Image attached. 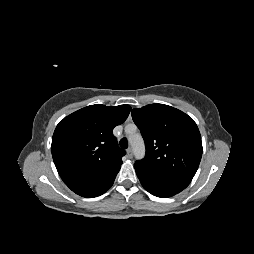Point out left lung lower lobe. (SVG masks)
<instances>
[{"mask_svg":"<svg viewBox=\"0 0 254 254\" xmlns=\"http://www.w3.org/2000/svg\"><path fill=\"white\" fill-rule=\"evenodd\" d=\"M134 168L144 189L157 197H171L184 190L190 183L188 180L153 173L138 163L134 164Z\"/></svg>","mask_w":254,"mask_h":254,"instance_id":"left-lung-lower-lobe-1","label":"left lung lower lobe"}]
</instances>
